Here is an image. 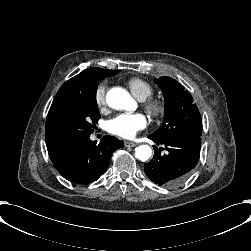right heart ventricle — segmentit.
<instances>
[{
	"label": "right heart ventricle",
	"mask_w": 251,
	"mask_h": 251,
	"mask_svg": "<svg viewBox=\"0 0 251 251\" xmlns=\"http://www.w3.org/2000/svg\"><path fill=\"white\" fill-rule=\"evenodd\" d=\"M127 85L132 93L140 100L148 98L153 94L152 85L140 77L132 76L128 78Z\"/></svg>",
	"instance_id": "right-heart-ventricle-1"
}]
</instances>
